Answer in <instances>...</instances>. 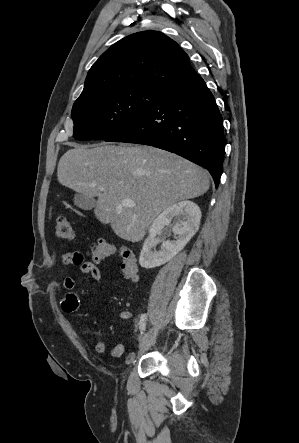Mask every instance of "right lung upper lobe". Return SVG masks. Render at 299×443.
<instances>
[{
	"instance_id": "1",
	"label": "right lung upper lobe",
	"mask_w": 299,
	"mask_h": 443,
	"mask_svg": "<svg viewBox=\"0 0 299 443\" xmlns=\"http://www.w3.org/2000/svg\"><path fill=\"white\" fill-rule=\"evenodd\" d=\"M195 73L188 55L175 41L156 31L138 32L116 42L100 56L90 68L77 100L124 88L163 91Z\"/></svg>"
}]
</instances>
